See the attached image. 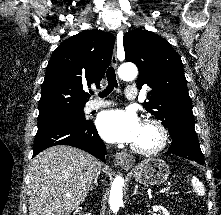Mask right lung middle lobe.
I'll list each match as a JSON object with an SVG mask.
<instances>
[{
  "label": "right lung middle lobe",
  "instance_id": "right-lung-middle-lobe-1",
  "mask_svg": "<svg viewBox=\"0 0 221 215\" xmlns=\"http://www.w3.org/2000/svg\"><path fill=\"white\" fill-rule=\"evenodd\" d=\"M83 108H79L73 111L47 115V116H39L38 117V127H42L49 124L59 123V122H83L86 121L84 117Z\"/></svg>",
  "mask_w": 221,
  "mask_h": 215
}]
</instances>
